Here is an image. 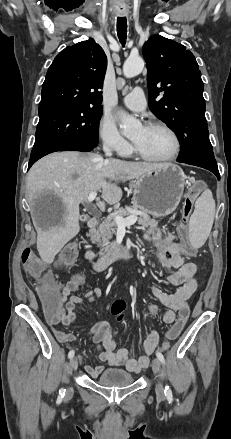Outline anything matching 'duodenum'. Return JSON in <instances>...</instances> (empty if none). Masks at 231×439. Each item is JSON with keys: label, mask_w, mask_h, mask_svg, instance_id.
Segmentation results:
<instances>
[{"label": "duodenum", "mask_w": 231, "mask_h": 439, "mask_svg": "<svg viewBox=\"0 0 231 439\" xmlns=\"http://www.w3.org/2000/svg\"><path fill=\"white\" fill-rule=\"evenodd\" d=\"M99 219L92 217L88 221V227L91 231L95 230L99 225ZM133 256V249L127 245H115L107 249L100 257H96L93 251L86 253L87 259L96 271H103L113 262L120 259H130Z\"/></svg>", "instance_id": "duodenum-1"}]
</instances>
